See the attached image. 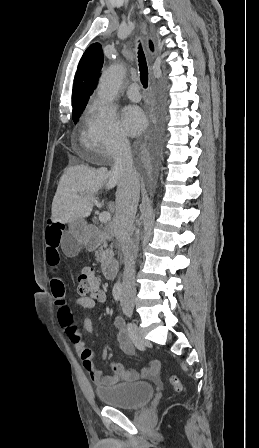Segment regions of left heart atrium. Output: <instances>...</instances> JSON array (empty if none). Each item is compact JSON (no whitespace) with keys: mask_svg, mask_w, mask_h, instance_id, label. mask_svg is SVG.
Instances as JSON below:
<instances>
[{"mask_svg":"<svg viewBox=\"0 0 259 448\" xmlns=\"http://www.w3.org/2000/svg\"><path fill=\"white\" fill-rule=\"evenodd\" d=\"M121 124L127 134L135 136L146 127V118L139 107L130 105L122 111Z\"/></svg>","mask_w":259,"mask_h":448,"instance_id":"39dd6f15","label":"left heart atrium"}]
</instances>
